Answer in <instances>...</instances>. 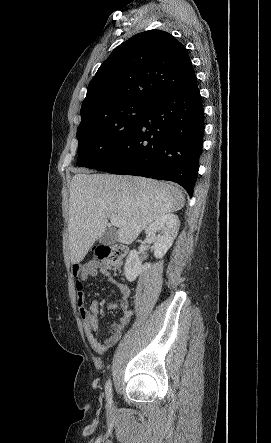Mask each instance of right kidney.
Listing matches in <instances>:
<instances>
[{"mask_svg":"<svg viewBox=\"0 0 271 443\" xmlns=\"http://www.w3.org/2000/svg\"><path fill=\"white\" fill-rule=\"evenodd\" d=\"M180 227V220L178 216L168 212L164 216H160L158 220L150 223L145 229V233L152 237L154 241L153 251L155 257H163L167 253L169 247H171L175 237L178 235ZM141 251L137 249H131L126 263L124 265V273L128 281H134L140 271H144L147 267H150L149 263L147 265H142L140 255Z\"/></svg>","mask_w":271,"mask_h":443,"instance_id":"1","label":"right kidney"}]
</instances>
